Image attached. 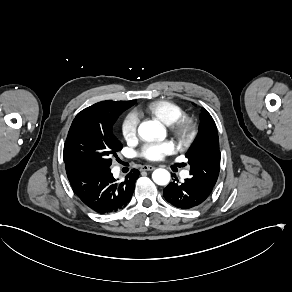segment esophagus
Returning a JSON list of instances; mask_svg holds the SVG:
<instances>
[{"mask_svg":"<svg viewBox=\"0 0 292 292\" xmlns=\"http://www.w3.org/2000/svg\"><path fill=\"white\" fill-rule=\"evenodd\" d=\"M154 169H155V167L154 166H151V165H143L140 168L141 171H152Z\"/></svg>","mask_w":292,"mask_h":292,"instance_id":"34e87169","label":"esophagus"}]
</instances>
